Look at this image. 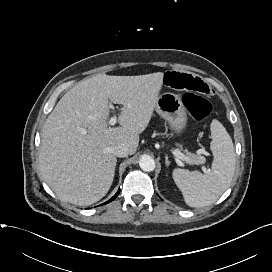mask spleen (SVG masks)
<instances>
[{"instance_id":"1","label":"spleen","mask_w":272,"mask_h":272,"mask_svg":"<svg viewBox=\"0 0 272 272\" xmlns=\"http://www.w3.org/2000/svg\"><path fill=\"white\" fill-rule=\"evenodd\" d=\"M213 153L211 171L203 175L198 171L174 169L172 176L181 190L185 203L190 207L213 204L229 187L235 172L234 145L225 127L216 119L210 126Z\"/></svg>"}]
</instances>
